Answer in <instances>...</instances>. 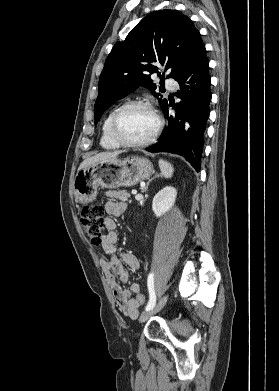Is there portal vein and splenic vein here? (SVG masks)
Instances as JSON below:
<instances>
[{
    "label": "portal vein and splenic vein",
    "instance_id": "1",
    "mask_svg": "<svg viewBox=\"0 0 279 391\" xmlns=\"http://www.w3.org/2000/svg\"><path fill=\"white\" fill-rule=\"evenodd\" d=\"M132 194H137V190H132Z\"/></svg>",
    "mask_w": 279,
    "mask_h": 391
}]
</instances>
